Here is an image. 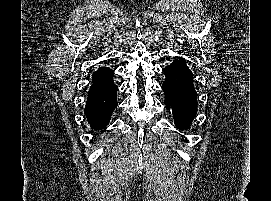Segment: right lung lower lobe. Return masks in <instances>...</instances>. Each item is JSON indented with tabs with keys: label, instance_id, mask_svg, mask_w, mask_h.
Returning a JSON list of instances; mask_svg holds the SVG:
<instances>
[{
	"label": "right lung lower lobe",
	"instance_id": "obj_1",
	"mask_svg": "<svg viewBox=\"0 0 271 201\" xmlns=\"http://www.w3.org/2000/svg\"><path fill=\"white\" fill-rule=\"evenodd\" d=\"M114 72L107 67H100L92 75V85L88 92L84 113L94 130L107 126L117 107V86L113 82Z\"/></svg>",
	"mask_w": 271,
	"mask_h": 201
}]
</instances>
